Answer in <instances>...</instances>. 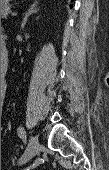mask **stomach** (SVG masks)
I'll return each mask as SVG.
<instances>
[{
  "instance_id": "0dacf381",
  "label": "stomach",
  "mask_w": 109,
  "mask_h": 170,
  "mask_svg": "<svg viewBox=\"0 0 109 170\" xmlns=\"http://www.w3.org/2000/svg\"><path fill=\"white\" fill-rule=\"evenodd\" d=\"M12 0H1V7L6 6Z\"/></svg>"
}]
</instances>
